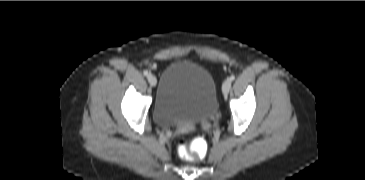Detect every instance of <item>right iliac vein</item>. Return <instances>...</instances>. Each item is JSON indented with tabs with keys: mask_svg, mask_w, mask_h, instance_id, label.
I'll return each mask as SVG.
<instances>
[{
	"mask_svg": "<svg viewBox=\"0 0 365 180\" xmlns=\"http://www.w3.org/2000/svg\"><path fill=\"white\" fill-rule=\"evenodd\" d=\"M148 82H149V84H150L151 86H156V84H157V79H156V77H155L154 75L149 74V76H148Z\"/></svg>",
	"mask_w": 365,
	"mask_h": 180,
	"instance_id": "obj_1",
	"label": "right iliac vein"
}]
</instances>
